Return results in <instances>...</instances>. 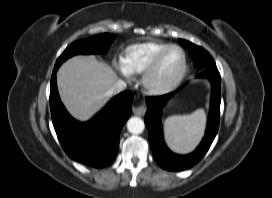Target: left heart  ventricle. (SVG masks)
<instances>
[{
	"label": "left heart ventricle",
	"mask_w": 272,
	"mask_h": 198,
	"mask_svg": "<svg viewBox=\"0 0 272 198\" xmlns=\"http://www.w3.org/2000/svg\"><path fill=\"white\" fill-rule=\"evenodd\" d=\"M183 66V55L180 50L172 49L164 57L157 74V81L166 83L174 79Z\"/></svg>",
	"instance_id": "obj_1"
}]
</instances>
